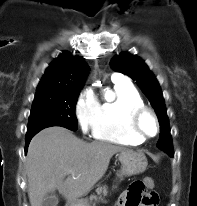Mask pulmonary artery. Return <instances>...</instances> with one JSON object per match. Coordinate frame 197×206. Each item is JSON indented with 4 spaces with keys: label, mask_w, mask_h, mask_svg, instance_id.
<instances>
[{
    "label": "pulmonary artery",
    "mask_w": 197,
    "mask_h": 206,
    "mask_svg": "<svg viewBox=\"0 0 197 206\" xmlns=\"http://www.w3.org/2000/svg\"><path fill=\"white\" fill-rule=\"evenodd\" d=\"M112 79L113 81H123L124 77L121 74L116 73L113 75Z\"/></svg>",
    "instance_id": "pulmonary-artery-1"
}]
</instances>
